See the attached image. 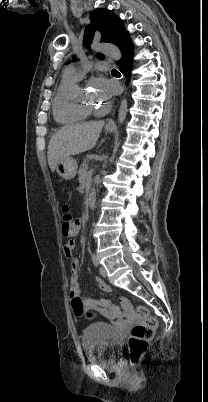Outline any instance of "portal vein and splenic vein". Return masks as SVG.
<instances>
[{
  "mask_svg": "<svg viewBox=\"0 0 208 402\" xmlns=\"http://www.w3.org/2000/svg\"><path fill=\"white\" fill-rule=\"evenodd\" d=\"M83 166H84V167H87V166H88L87 161H83ZM90 174H91V172H90Z\"/></svg>",
  "mask_w": 208,
  "mask_h": 402,
  "instance_id": "1",
  "label": "portal vein and splenic vein"
}]
</instances>
